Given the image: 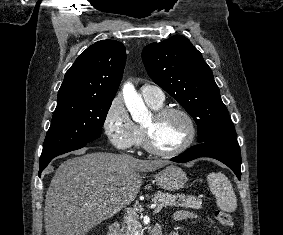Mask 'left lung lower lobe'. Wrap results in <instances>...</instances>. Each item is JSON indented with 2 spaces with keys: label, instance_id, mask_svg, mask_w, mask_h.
Returning a JSON list of instances; mask_svg holds the SVG:
<instances>
[{
  "label": "left lung lower lobe",
  "instance_id": "obj_1",
  "mask_svg": "<svg viewBox=\"0 0 283 235\" xmlns=\"http://www.w3.org/2000/svg\"><path fill=\"white\" fill-rule=\"evenodd\" d=\"M199 157H211L221 161L231 168L240 180L241 152L236 137L200 143L171 160L185 163Z\"/></svg>",
  "mask_w": 283,
  "mask_h": 235
}]
</instances>
